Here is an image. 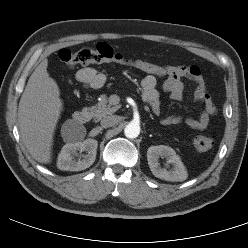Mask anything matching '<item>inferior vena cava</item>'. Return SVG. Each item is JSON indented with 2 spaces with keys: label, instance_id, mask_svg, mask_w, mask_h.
<instances>
[{
  "label": "inferior vena cava",
  "instance_id": "obj_1",
  "mask_svg": "<svg viewBox=\"0 0 248 248\" xmlns=\"http://www.w3.org/2000/svg\"><path fill=\"white\" fill-rule=\"evenodd\" d=\"M118 122V118L115 115L107 116L103 118L100 122L103 128H108L115 125Z\"/></svg>",
  "mask_w": 248,
  "mask_h": 248
}]
</instances>
